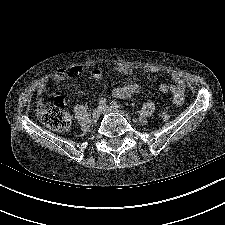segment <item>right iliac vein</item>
Segmentation results:
<instances>
[{
    "label": "right iliac vein",
    "instance_id": "obj_1",
    "mask_svg": "<svg viewBox=\"0 0 225 225\" xmlns=\"http://www.w3.org/2000/svg\"><path fill=\"white\" fill-rule=\"evenodd\" d=\"M101 114H102V109H101V107L95 108V109L93 110V112H92V117H91L92 121H93V122L98 121V119L100 118Z\"/></svg>",
    "mask_w": 225,
    "mask_h": 225
}]
</instances>
